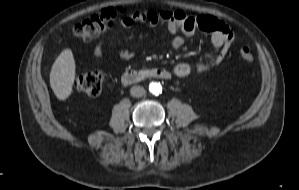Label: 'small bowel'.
Here are the masks:
<instances>
[{
	"mask_svg": "<svg viewBox=\"0 0 299 190\" xmlns=\"http://www.w3.org/2000/svg\"><path fill=\"white\" fill-rule=\"evenodd\" d=\"M203 17L206 18V23L201 27L199 17L188 15L183 10L166 11L161 14L154 11L139 12L136 10L129 16L123 17L120 23L125 27H133L136 23H143L152 27L165 23L168 31L173 35L171 44L174 48H180L184 44L185 36H191L197 28L211 32V42L217 51L213 56L192 64L179 63L174 67L173 73L176 77L186 78L192 71L203 73L218 65L233 39V34L225 23L212 15H204ZM94 54L97 57L102 56L101 42L94 47ZM120 57L129 59L132 57V53L129 50H122Z\"/></svg>",
	"mask_w": 299,
	"mask_h": 190,
	"instance_id": "small-bowel-1",
	"label": "small bowel"
}]
</instances>
